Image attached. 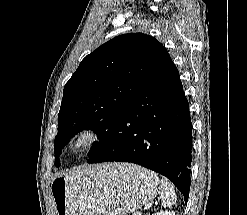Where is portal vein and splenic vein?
<instances>
[{"instance_id":"1","label":"portal vein and splenic vein","mask_w":247,"mask_h":215,"mask_svg":"<svg viewBox=\"0 0 247 215\" xmlns=\"http://www.w3.org/2000/svg\"><path fill=\"white\" fill-rule=\"evenodd\" d=\"M147 207H151V204H148Z\"/></svg>"}]
</instances>
